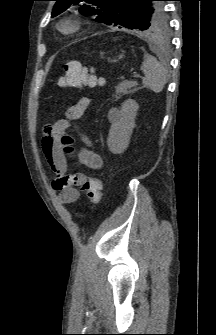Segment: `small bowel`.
Returning a JSON list of instances; mask_svg holds the SVG:
<instances>
[{
	"instance_id": "obj_1",
	"label": "small bowel",
	"mask_w": 216,
	"mask_h": 335,
	"mask_svg": "<svg viewBox=\"0 0 216 335\" xmlns=\"http://www.w3.org/2000/svg\"><path fill=\"white\" fill-rule=\"evenodd\" d=\"M89 104L90 99L82 97L67 109L65 119H60L44 128L41 140L42 150L54 174L52 187L60 193V200L64 204L76 202L80 198L78 186L83 180V176L67 174V161L61 148V137L69 127L70 121H78L85 116ZM81 139L85 146L80 151V161L94 170L100 169L102 167V159L93 150L89 136L85 132H81Z\"/></svg>"
}]
</instances>
